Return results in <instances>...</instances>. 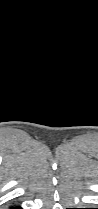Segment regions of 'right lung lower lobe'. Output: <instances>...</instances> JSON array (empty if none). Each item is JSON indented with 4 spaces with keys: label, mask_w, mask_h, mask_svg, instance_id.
<instances>
[{
    "label": "right lung lower lobe",
    "mask_w": 98,
    "mask_h": 209,
    "mask_svg": "<svg viewBox=\"0 0 98 209\" xmlns=\"http://www.w3.org/2000/svg\"><path fill=\"white\" fill-rule=\"evenodd\" d=\"M10 209H21L19 206H11Z\"/></svg>",
    "instance_id": "1"
}]
</instances>
